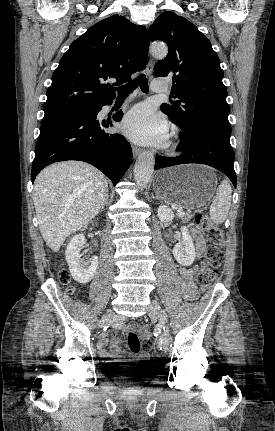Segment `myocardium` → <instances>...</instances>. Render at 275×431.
<instances>
[{
  "instance_id": "myocardium-1",
  "label": "myocardium",
  "mask_w": 275,
  "mask_h": 431,
  "mask_svg": "<svg viewBox=\"0 0 275 431\" xmlns=\"http://www.w3.org/2000/svg\"><path fill=\"white\" fill-rule=\"evenodd\" d=\"M179 144V131L177 128H173L170 139L166 144V149L169 153H174Z\"/></svg>"
}]
</instances>
